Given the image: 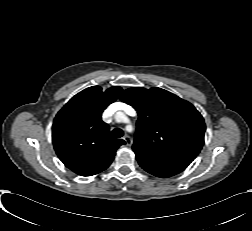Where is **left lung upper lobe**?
Segmentation results:
<instances>
[{
	"mask_svg": "<svg viewBox=\"0 0 252 231\" xmlns=\"http://www.w3.org/2000/svg\"><path fill=\"white\" fill-rule=\"evenodd\" d=\"M120 100L138 113L135 154L193 161L204 144L205 122L189 102L164 89L134 87Z\"/></svg>",
	"mask_w": 252,
	"mask_h": 231,
	"instance_id": "obj_1",
	"label": "left lung upper lobe"
}]
</instances>
